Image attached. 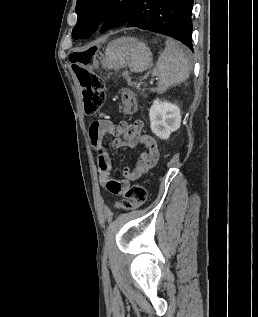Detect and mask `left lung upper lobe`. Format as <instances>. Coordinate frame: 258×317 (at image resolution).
<instances>
[{"label":"left lung upper lobe","mask_w":258,"mask_h":317,"mask_svg":"<svg viewBox=\"0 0 258 317\" xmlns=\"http://www.w3.org/2000/svg\"><path fill=\"white\" fill-rule=\"evenodd\" d=\"M137 0H77V24L73 28L74 39L85 38L93 34L98 26L110 29L125 25Z\"/></svg>","instance_id":"left-lung-upper-lobe-1"}]
</instances>
